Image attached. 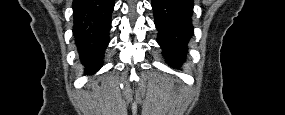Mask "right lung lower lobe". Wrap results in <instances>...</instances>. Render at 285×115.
I'll return each instance as SVG.
<instances>
[{
    "label": "right lung lower lobe",
    "instance_id": "98d812e1",
    "mask_svg": "<svg viewBox=\"0 0 285 115\" xmlns=\"http://www.w3.org/2000/svg\"><path fill=\"white\" fill-rule=\"evenodd\" d=\"M114 0H73V35L86 71H97L109 43Z\"/></svg>",
    "mask_w": 285,
    "mask_h": 115
}]
</instances>
